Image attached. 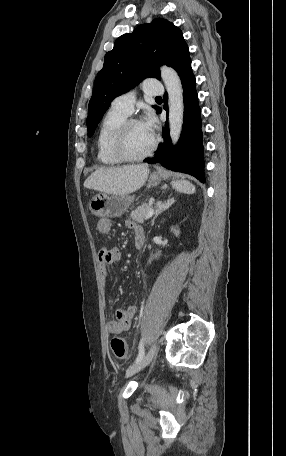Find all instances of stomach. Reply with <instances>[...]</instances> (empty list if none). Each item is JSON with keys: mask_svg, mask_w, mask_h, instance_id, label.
<instances>
[{"mask_svg": "<svg viewBox=\"0 0 286 456\" xmlns=\"http://www.w3.org/2000/svg\"><path fill=\"white\" fill-rule=\"evenodd\" d=\"M161 175L152 173L148 179V187H155L159 184ZM134 201V196L127 194H98L89 202V210L98 217H119L121 216Z\"/></svg>", "mask_w": 286, "mask_h": 456, "instance_id": "1", "label": "stomach"}]
</instances>
